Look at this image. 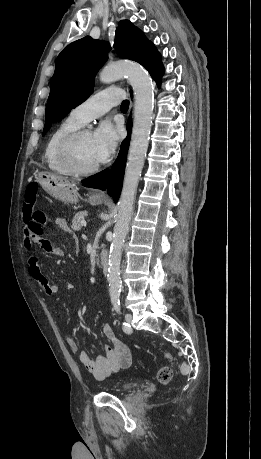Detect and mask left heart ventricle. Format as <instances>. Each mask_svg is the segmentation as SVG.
<instances>
[{
  "label": "left heart ventricle",
  "instance_id": "left-heart-ventricle-1",
  "mask_svg": "<svg viewBox=\"0 0 261 459\" xmlns=\"http://www.w3.org/2000/svg\"><path fill=\"white\" fill-rule=\"evenodd\" d=\"M78 160L82 167L90 168L98 164L93 143V133L86 130L79 141Z\"/></svg>",
  "mask_w": 261,
  "mask_h": 459
}]
</instances>
